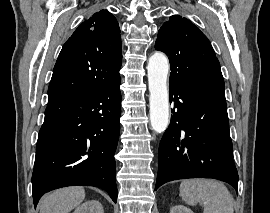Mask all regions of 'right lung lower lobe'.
<instances>
[{"instance_id":"1","label":"right lung lower lobe","mask_w":270,"mask_h":213,"mask_svg":"<svg viewBox=\"0 0 270 213\" xmlns=\"http://www.w3.org/2000/svg\"><path fill=\"white\" fill-rule=\"evenodd\" d=\"M120 83L48 103L32 174L35 207L44 193L72 185L100 187L116 202Z\"/></svg>"}]
</instances>
